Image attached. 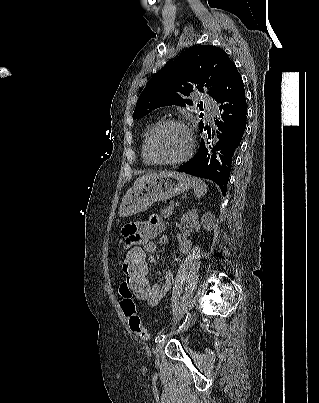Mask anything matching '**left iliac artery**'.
Wrapping results in <instances>:
<instances>
[{
  "label": "left iliac artery",
  "mask_w": 319,
  "mask_h": 403,
  "mask_svg": "<svg viewBox=\"0 0 319 403\" xmlns=\"http://www.w3.org/2000/svg\"><path fill=\"white\" fill-rule=\"evenodd\" d=\"M189 322H190V313H187V316H186V319H185L184 323H183L178 329H176L175 332L181 331ZM165 337H166L165 334H160V335H158V336L155 338V342H156V343H157V342H160V341L163 340Z\"/></svg>",
  "instance_id": "1"
}]
</instances>
